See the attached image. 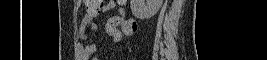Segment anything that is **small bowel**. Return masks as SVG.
I'll return each instance as SVG.
<instances>
[{
	"instance_id": "1",
	"label": "small bowel",
	"mask_w": 267,
	"mask_h": 60,
	"mask_svg": "<svg viewBox=\"0 0 267 60\" xmlns=\"http://www.w3.org/2000/svg\"><path fill=\"white\" fill-rule=\"evenodd\" d=\"M118 7V11L116 15L111 16L108 18L106 25H105V34L106 39H110L113 42H119L123 36H131L135 33V29H131L129 27L130 24L134 23V19L128 17L126 14V7L121 2L115 1H105L104 3V11H108L113 9L114 7ZM96 16H85L80 24L79 27V38L80 39H87L89 35L93 32L98 30V26L95 23ZM100 44L98 42H93L83 48V55L84 56H91L94 54Z\"/></svg>"
}]
</instances>
